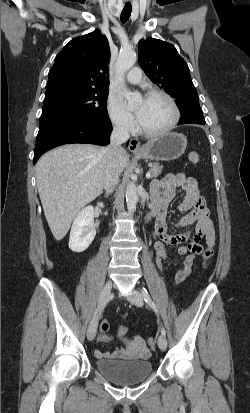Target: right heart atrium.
Listing matches in <instances>:
<instances>
[{
  "label": "right heart atrium",
  "instance_id": "obj_1",
  "mask_svg": "<svg viewBox=\"0 0 250 413\" xmlns=\"http://www.w3.org/2000/svg\"><path fill=\"white\" fill-rule=\"evenodd\" d=\"M106 110L109 120L117 130L124 133H131L135 130L136 122L133 115L124 107L117 95H108Z\"/></svg>",
  "mask_w": 250,
  "mask_h": 413
}]
</instances>
